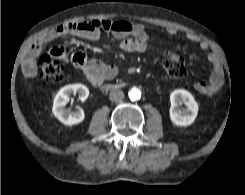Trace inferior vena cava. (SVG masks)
Listing matches in <instances>:
<instances>
[{"label":"inferior vena cava","instance_id":"inferior-vena-cava-1","mask_svg":"<svg viewBox=\"0 0 245 195\" xmlns=\"http://www.w3.org/2000/svg\"><path fill=\"white\" fill-rule=\"evenodd\" d=\"M109 99L111 101H121L124 99V92L120 89H113L109 93Z\"/></svg>","mask_w":245,"mask_h":195}]
</instances>
